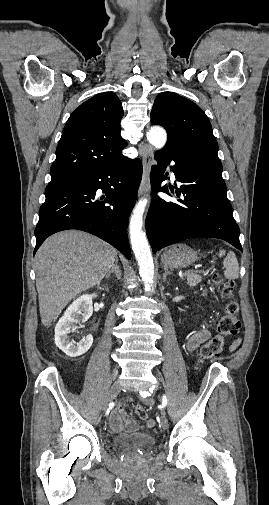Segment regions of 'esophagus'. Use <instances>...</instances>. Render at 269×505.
I'll return each mask as SVG.
<instances>
[{
	"mask_svg": "<svg viewBox=\"0 0 269 505\" xmlns=\"http://www.w3.org/2000/svg\"><path fill=\"white\" fill-rule=\"evenodd\" d=\"M142 163H143V174L138 190L139 197L142 196L143 194H146L150 189L149 174L153 163V150L149 145H145L144 147Z\"/></svg>",
	"mask_w": 269,
	"mask_h": 505,
	"instance_id": "34e87169",
	"label": "esophagus"
}]
</instances>
